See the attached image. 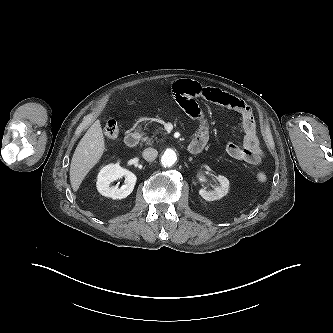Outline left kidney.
Segmentation results:
<instances>
[{"label": "left kidney", "mask_w": 333, "mask_h": 333, "mask_svg": "<svg viewBox=\"0 0 333 333\" xmlns=\"http://www.w3.org/2000/svg\"><path fill=\"white\" fill-rule=\"evenodd\" d=\"M217 179L220 183L219 187H216L210 191H207L205 189L199 190V194L202 198H204L207 201H214V200L221 199L228 193L229 180L222 175H218Z\"/></svg>", "instance_id": "left-kidney-1"}]
</instances>
